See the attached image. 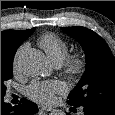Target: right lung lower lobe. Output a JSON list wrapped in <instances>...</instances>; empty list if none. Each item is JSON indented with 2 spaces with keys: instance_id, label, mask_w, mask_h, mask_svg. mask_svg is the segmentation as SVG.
<instances>
[{
  "instance_id": "98d812e1",
  "label": "right lung lower lobe",
  "mask_w": 115,
  "mask_h": 115,
  "mask_svg": "<svg viewBox=\"0 0 115 115\" xmlns=\"http://www.w3.org/2000/svg\"><path fill=\"white\" fill-rule=\"evenodd\" d=\"M37 112V105L25 98L17 106H11L1 98V115H34Z\"/></svg>"
}]
</instances>
